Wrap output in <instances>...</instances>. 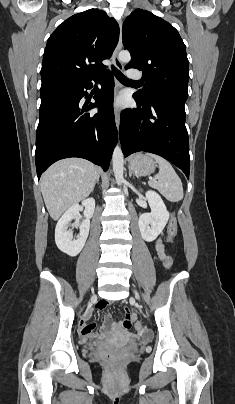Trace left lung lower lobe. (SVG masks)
<instances>
[{"label":"left lung lower lobe","instance_id":"obj_1","mask_svg":"<svg viewBox=\"0 0 235 404\" xmlns=\"http://www.w3.org/2000/svg\"><path fill=\"white\" fill-rule=\"evenodd\" d=\"M137 109L122 112L120 142L124 156L145 151L179 167L189 179V140L185 127V101L160 97L143 101L133 95Z\"/></svg>","mask_w":235,"mask_h":404}]
</instances>
